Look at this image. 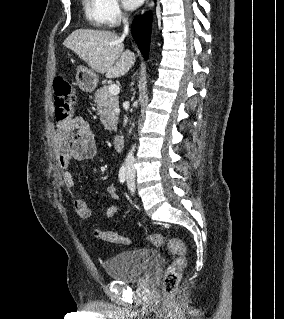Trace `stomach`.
Masks as SVG:
<instances>
[{"mask_svg":"<svg viewBox=\"0 0 284 319\" xmlns=\"http://www.w3.org/2000/svg\"><path fill=\"white\" fill-rule=\"evenodd\" d=\"M76 81L82 91L92 92L97 86L98 76L93 70L79 66L77 68Z\"/></svg>","mask_w":284,"mask_h":319,"instance_id":"1","label":"stomach"}]
</instances>
